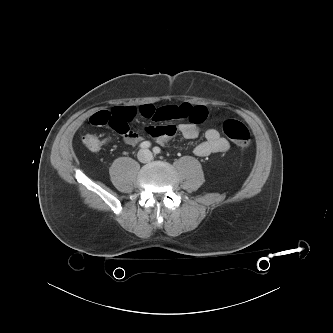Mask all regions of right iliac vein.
Segmentation results:
<instances>
[{
  "instance_id": "1",
  "label": "right iliac vein",
  "mask_w": 333,
  "mask_h": 333,
  "mask_svg": "<svg viewBox=\"0 0 333 333\" xmlns=\"http://www.w3.org/2000/svg\"><path fill=\"white\" fill-rule=\"evenodd\" d=\"M138 158L142 160L144 158V152H139Z\"/></svg>"
}]
</instances>
